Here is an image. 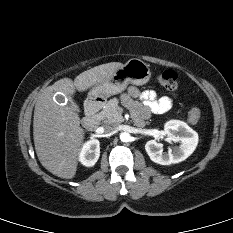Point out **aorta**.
Listing matches in <instances>:
<instances>
[{"label": "aorta", "instance_id": "1", "mask_svg": "<svg viewBox=\"0 0 233 233\" xmlns=\"http://www.w3.org/2000/svg\"><path fill=\"white\" fill-rule=\"evenodd\" d=\"M130 139H131V136H130L129 133H127V132H122V133L120 134V140H121L122 142H129Z\"/></svg>", "mask_w": 233, "mask_h": 233}]
</instances>
